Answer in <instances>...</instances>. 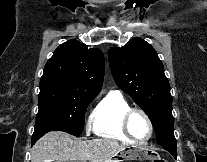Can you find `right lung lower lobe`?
<instances>
[{"label":"right lung lower lobe","instance_id":"98d812e1","mask_svg":"<svg viewBox=\"0 0 207 162\" xmlns=\"http://www.w3.org/2000/svg\"><path fill=\"white\" fill-rule=\"evenodd\" d=\"M45 134V132H42L40 134H37V135H33L32 136V145L40 138L42 137L43 135Z\"/></svg>","mask_w":207,"mask_h":162}]
</instances>
